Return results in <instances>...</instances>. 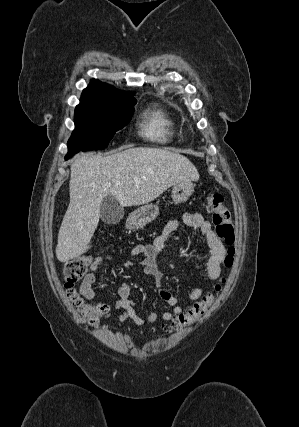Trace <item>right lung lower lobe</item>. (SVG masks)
Returning <instances> with one entry per match:
<instances>
[{
    "instance_id": "obj_1",
    "label": "right lung lower lobe",
    "mask_w": 299,
    "mask_h": 427,
    "mask_svg": "<svg viewBox=\"0 0 299 427\" xmlns=\"http://www.w3.org/2000/svg\"><path fill=\"white\" fill-rule=\"evenodd\" d=\"M73 155H71V154H67L66 156H65V160H67V159H69L70 157H72Z\"/></svg>"
}]
</instances>
